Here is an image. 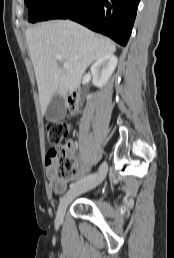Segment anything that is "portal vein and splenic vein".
Instances as JSON below:
<instances>
[{"mask_svg": "<svg viewBox=\"0 0 174 258\" xmlns=\"http://www.w3.org/2000/svg\"><path fill=\"white\" fill-rule=\"evenodd\" d=\"M55 58L57 59V60H61V56H59V55H56L55 56ZM63 67H64V69H70V65L69 64H67V63H64L63 64Z\"/></svg>", "mask_w": 174, "mask_h": 258, "instance_id": "18ae733b", "label": "portal vein and splenic vein"}]
</instances>
